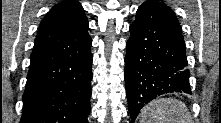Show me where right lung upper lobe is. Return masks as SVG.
Segmentation results:
<instances>
[{"label":"right lung upper lobe","mask_w":221,"mask_h":123,"mask_svg":"<svg viewBox=\"0 0 221 123\" xmlns=\"http://www.w3.org/2000/svg\"><path fill=\"white\" fill-rule=\"evenodd\" d=\"M88 28V20L79 2H61L41 21L35 47L59 45L68 40H75L86 33Z\"/></svg>","instance_id":"right-lung-upper-lobe-1"}]
</instances>
